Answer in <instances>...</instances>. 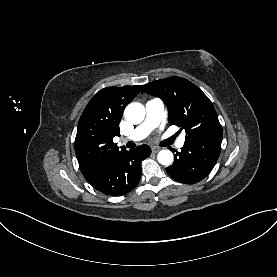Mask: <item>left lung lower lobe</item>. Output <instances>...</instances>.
I'll list each match as a JSON object with an SVG mask.
<instances>
[{"label":"left lung lower lobe","instance_id":"0a47b994","mask_svg":"<svg viewBox=\"0 0 277 277\" xmlns=\"http://www.w3.org/2000/svg\"><path fill=\"white\" fill-rule=\"evenodd\" d=\"M223 135L185 140L174 163L166 168L170 177L185 184L203 180L213 169L221 151Z\"/></svg>","mask_w":277,"mask_h":277}]
</instances>
